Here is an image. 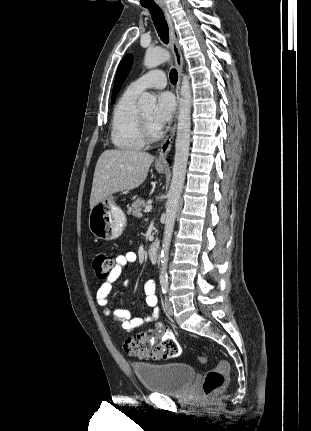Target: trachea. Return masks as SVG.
Listing matches in <instances>:
<instances>
[{
	"mask_svg": "<svg viewBox=\"0 0 311 431\" xmlns=\"http://www.w3.org/2000/svg\"><path fill=\"white\" fill-rule=\"evenodd\" d=\"M151 13L152 20L154 22L155 28L158 32L159 37L161 40L167 44L169 40V29L167 22L164 17V13L158 6L156 7H146ZM171 83L175 84L178 81V73L175 69H172L170 71L169 75Z\"/></svg>",
	"mask_w": 311,
	"mask_h": 431,
	"instance_id": "1",
	"label": "trachea"
}]
</instances>
